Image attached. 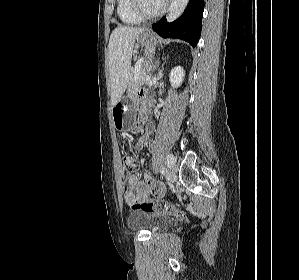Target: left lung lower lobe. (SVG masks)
I'll list each match as a JSON object with an SVG mask.
<instances>
[{"label": "left lung lower lobe", "mask_w": 299, "mask_h": 280, "mask_svg": "<svg viewBox=\"0 0 299 280\" xmlns=\"http://www.w3.org/2000/svg\"><path fill=\"white\" fill-rule=\"evenodd\" d=\"M203 10L204 0H190L180 18L167 23L164 17L160 22L153 24L152 29L164 38H179L195 47L201 34Z\"/></svg>", "instance_id": "obj_1"}]
</instances>
